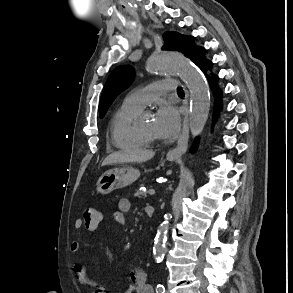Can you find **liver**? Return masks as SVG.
I'll list each match as a JSON object with an SVG mask.
<instances>
[{
    "instance_id": "1",
    "label": "liver",
    "mask_w": 293,
    "mask_h": 293,
    "mask_svg": "<svg viewBox=\"0 0 293 293\" xmlns=\"http://www.w3.org/2000/svg\"><path fill=\"white\" fill-rule=\"evenodd\" d=\"M154 154L155 153L153 151L147 150L133 153L115 152L105 158V160L102 163V166L127 162H145L147 160H150L154 156Z\"/></svg>"
}]
</instances>
